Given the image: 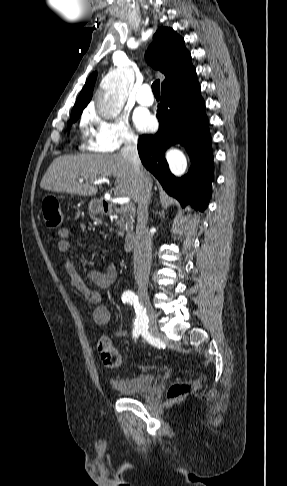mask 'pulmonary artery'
<instances>
[{"mask_svg": "<svg viewBox=\"0 0 287 486\" xmlns=\"http://www.w3.org/2000/svg\"><path fill=\"white\" fill-rule=\"evenodd\" d=\"M136 100L139 104L144 106H150L153 104L154 97L148 84H143L140 86L136 93Z\"/></svg>", "mask_w": 287, "mask_h": 486, "instance_id": "pulmonary-artery-1", "label": "pulmonary artery"}]
</instances>
